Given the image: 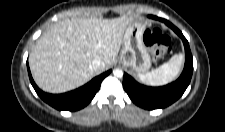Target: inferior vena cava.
<instances>
[{"label": "inferior vena cava", "mask_w": 225, "mask_h": 132, "mask_svg": "<svg viewBox=\"0 0 225 132\" xmlns=\"http://www.w3.org/2000/svg\"><path fill=\"white\" fill-rule=\"evenodd\" d=\"M105 63L100 58H95L92 60V62L89 64V68L97 73H101L104 70Z\"/></svg>", "instance_id": "1"}]
</instances>
